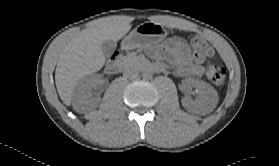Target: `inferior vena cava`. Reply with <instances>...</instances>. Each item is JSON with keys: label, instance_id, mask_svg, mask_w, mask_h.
<instances>
[{"label": "inferior vena cava", "instance_id": "602c4592", "mask_svg": "<svg viewBox=\"0 0 279 166\" xmlns=\"http://www.w3.org/2000/svg\"><path fill=\"white\" fill-rule=\"evenodd\" d=\"M124 76L126 78H136L138 76V72L134 69H130L124 72Z\"/></svg>", "mask_w": 279, "mask_h": 166}]
</instances>
